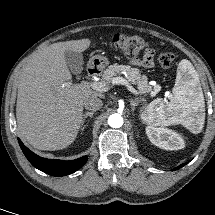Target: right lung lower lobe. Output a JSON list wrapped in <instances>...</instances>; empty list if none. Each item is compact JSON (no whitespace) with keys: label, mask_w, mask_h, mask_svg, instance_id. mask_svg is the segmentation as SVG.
I'll return each mask as SVG.
<instances>
[{"label":"right lung lower lobe","mask_w":215,"mask_h":215,"mask_svg":"<svg viewBox=\"0 0 215 215\" xmlns=\"http://www.w3.org/2000/svg\"><path fill=\"white\" fill-rule=\"evenodd\" d=\"M18 142L29 162L35 168L52 176H66L68 174H71L81 168L88 159L87 156H83L72 161L46 159L30 151L23 145L20 139H18Z\"/></svg>","instance_id":"obj_1"}]
</instances>
